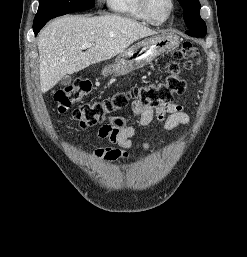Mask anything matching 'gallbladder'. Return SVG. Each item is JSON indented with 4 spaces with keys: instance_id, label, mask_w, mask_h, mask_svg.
I'll return each instance as SVG.
<instances>
[{
    "instance_id": "1",
    "label": "gallbladder",
    "mask_w": 247,
    "mask_h": 257,
    "mask_svg": "<svg viewBox=\"0 0 247 257\" xmlns=\"http://www.w3.org/2000/svg\"><path fill=\"white\" fill-rule=\"evenodd\" d=\"M72 78L70 75H65L61 80H60V84L62 86H67L71 83Z\"/></svg>"
}]
</instances>
